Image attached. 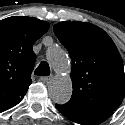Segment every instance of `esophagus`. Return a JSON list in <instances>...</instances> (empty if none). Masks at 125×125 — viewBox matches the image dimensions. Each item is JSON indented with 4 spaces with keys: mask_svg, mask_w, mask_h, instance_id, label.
<instances>
[{
    "mask_svg": "<svg viewBox=\"0 0 125 125\" xmlns=\"http://www.w3.org/2000/svg\"><path fill=\"white\" fill-rule=\"evenodd\" d=\"M52 79L51 76H42L39 78L41 82H49Z\"/></svg>",
    "mask_w": 125,
    "mask_h": 125,
    "instance_id": "esophagus-1",
    "label": "esophagus"
}]
</instances>
